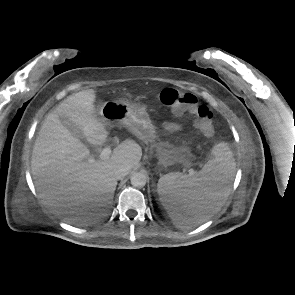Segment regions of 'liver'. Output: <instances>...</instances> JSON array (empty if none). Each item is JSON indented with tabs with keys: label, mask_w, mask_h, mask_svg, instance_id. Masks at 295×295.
<instances>
[{
	"label": "liver",
	"mask_w": 295,
	"mask_h": 295,
	"mask_svg": "<svg viewBox=\"0 0 295 295\" xmlns=\"http://www.w3.org/2000/svg\"><path fill=\"white\" fill-rule=\"evenodd\" d=\"M96 91L70 95L51 111L39 130L31 159V172L39 198L59 218L67 222L87 220L111 206L119 166H136L142 149L133 140L114 148L105 160H94L90 150L60 121L67 118L82 130L87 142L102 145L108 132L95 114Z\"/></svg>",
	"instance_id": "obj_1"
}]
</instances>
